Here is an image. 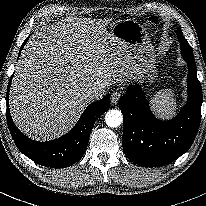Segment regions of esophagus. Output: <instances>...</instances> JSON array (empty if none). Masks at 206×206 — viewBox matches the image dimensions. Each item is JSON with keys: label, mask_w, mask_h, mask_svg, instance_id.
<instances>
[{"label": "esophagus", "mask_w": 206, "mask_h": 206, "mask_svg": "<svg viewBox=\"0 0 206 206\" xmlns=\"http://www.w3.org/2000/svg\"><path fill=\"white\" fill-rule=\"evenodd\" d=\"M120 97H121V91L116 89L112 92L111 94V102L113 105H116L118 104L119 100H120Z\"/></svg>", "instance_id": "34e87169"}]
</instances>
